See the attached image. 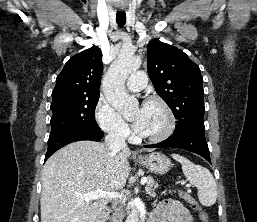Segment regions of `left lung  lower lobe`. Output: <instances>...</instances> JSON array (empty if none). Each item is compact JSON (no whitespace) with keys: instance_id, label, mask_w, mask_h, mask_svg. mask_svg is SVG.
Segmentation results:
<instances>
[{"instance_id":"left-lung-lower-lobe-1","label":"left lung lower lobe","mask_w":257,"mask_h":222,"mask_svg":"<svg viewBox=\"0 0 257 222\" xmlns=\"http://www.w3.org/2000/svg\"><path fill=\"white\" fill-rule=\"evenodd\" d=\"M146 148H179L199 154L211 163L208 145L205 139V130L188 129L173 133L168 139L152 145H144Z\"/></svg>"}]
</instances>
